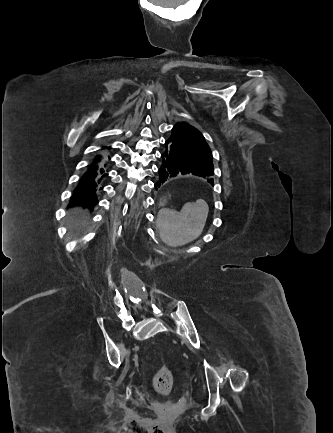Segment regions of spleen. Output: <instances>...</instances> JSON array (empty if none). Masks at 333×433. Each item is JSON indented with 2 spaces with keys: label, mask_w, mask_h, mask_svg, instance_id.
I'll use <instances>...</instances> for the list:
<instances>
[{
  "label": "spleen",
  "mask_w": 333,
  "mask_h": 433,
  "mask_svg": "<svg viewBox=\"0 0 333 433\" xmlns=\"http://www.w3.org/2000/svg\"><path fill=\"white\" fill-rule=\"evenodd\" d=\"M207 216L208 206L202 200L187 204L184 209H161L156 220L159 238L170 247L188 244L202 234Z\"/></svg>",
  "instance_id": "spleen-1"
}]
</instances>
